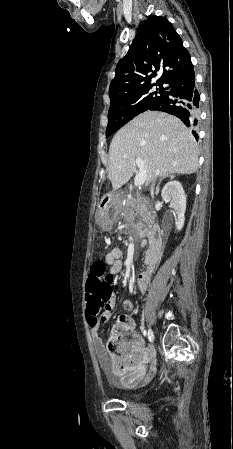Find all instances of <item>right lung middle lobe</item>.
<instances>
[{"label":"right lung middle lobe","instance_id":"dd1d6c3e","mask_svg":"<svg viewBox=\"0 0 233 449\" xmlns=\"http://www.w3.org/2000/svg\"><path fill=\"white\" fill-rule=\"evenodd\" d=\"M162 84L156 83L155 85L159 88L155 91L152 89L154 84H151L113 97L108 112L106 137H109L140 113L157 108L167 92Z\"/></svg>","mask_w":233,"mask_h":449}]
</instances>
